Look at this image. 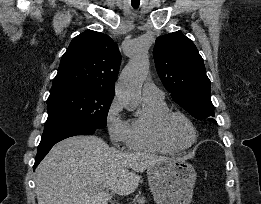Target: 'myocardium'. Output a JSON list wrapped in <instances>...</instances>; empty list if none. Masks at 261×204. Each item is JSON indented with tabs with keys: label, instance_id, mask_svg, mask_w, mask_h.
Returning a JSON list of instances; mask_svg holds the SVG:
<instances>
[{
	"label": "myocardium",
	"instance_id": "f54148a6",
	"mask_svg": "<svg viewBox=\"0 0 261 204\" xmlns=\"http://www.w3.org/2000/svg\"><path fill=\"white\" fill-rule=\"evenodd\" d=\"M174 118H179L183 120L190 127L193 133V138L189 144L184 146L178 145L169 135L168 125L169 122ZM157 131L160 138L165 143H167L169 146H171L172 148L178 151H182L190 148L197 141V137H198L195 125L193 124L191 119L181 111L168 110L165 113H163L157 121Z\"/></svg>",
	"mask_w": 261,
	"mask_h": 204
}]
</instances>
